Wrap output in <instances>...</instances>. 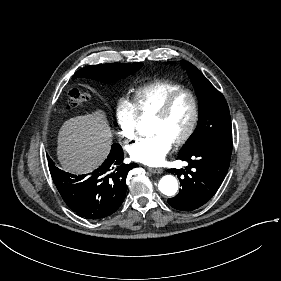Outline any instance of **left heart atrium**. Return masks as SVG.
<instances>
[{"label":"left heart atrium","instance_id":"39dd6f15","mask_svg":"<svg viewBox=\"0 0 281 281\" xmlns=\"http://www.w3.org/2000/svg\"><path fill=\"white\" fill-rule=\"evenodd\" d=\"M171 147V140L161 133H156L134 144L130 149V156L139 163L157 166L164 162Z\"/></svg>","mask_w":281,"mask_h":281}]
</instances>
